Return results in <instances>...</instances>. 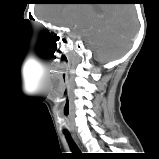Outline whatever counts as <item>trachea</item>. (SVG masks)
<instances>
[{
    "mask_svg": "<svg viewBox=\"0 0 159 159\" xmlns=\"http://www.w3.org/2000/svg\"><path fill=\"white\" fill-rule=\"evenodd\" d=\"M65 136H66V139H67V142H68V144H69V147H70L71 151H72L73 153H80L79 148L77 147V145L75 144V142H74L73 139L71 138L70 134L65 133Z\"/></svg>",
    "mask_w": 159,
    "mask_h": 159,
    "instance_id": "obj_1",
    "label": "trachea"
}]
</instances>
